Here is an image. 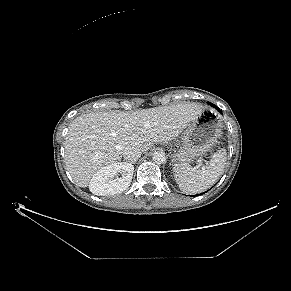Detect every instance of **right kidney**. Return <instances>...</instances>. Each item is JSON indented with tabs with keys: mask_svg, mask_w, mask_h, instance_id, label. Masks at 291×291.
Here are the masks:
<instances>
[{
	"mask_svg": "<svg viewBox=\"0 0 291 291\" xmlns=\"http://www.w3.org/2000/svg\"><path fill=\"white\" fill-rule=\"evenodd\" d=\"M134 167L118 162L97 171L89 184L90 191L99 196L114 195L124 191L131 183ZM121 175L120 177H118Z\"/></svg>",
	"mask_w": 291,
	"mask_h": 291,
	"instance_id": "1",
	"label": "right kidney"
}]
</instances>
